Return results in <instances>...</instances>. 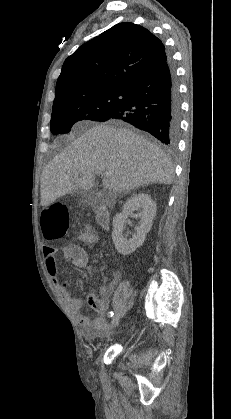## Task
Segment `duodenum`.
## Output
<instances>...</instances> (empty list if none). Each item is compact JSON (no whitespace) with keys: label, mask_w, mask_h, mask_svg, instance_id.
Instances as JSON below:
<instances>
[{"label":"duodenum","mask_w":231,"mask_h":419,"mask_svg":"<svg viewBox=\"0 0 231 419\" xmlns=\"http://www.w3.org/2000/svg\"><path fill=\"white\" fill-rule=\"evenodd\" d=\"M96 219L101 227L106 228L109 224V211L104 206H99L96 210Z\"/></svg>","instance_id":"410a0bca"}]
</instances>
